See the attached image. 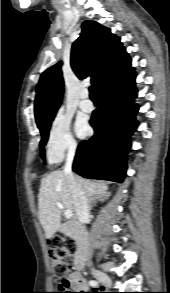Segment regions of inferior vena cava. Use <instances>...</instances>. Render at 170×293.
Masks as SVG:
<instances>
[{
	"label": "inferior vena cava",
	"mask_w": 170,
	"mask_h": 293,
	"mask_svg": "<svg viewBox=\"0 0 170 293\" xmlns=\"http://www.w3.org/2000/svg\"><path fill=\"white\" fill-rule=\"evenodd\" d=\"M76 152V146H71L68 150L64 172L67 176L69 186L73 194L76 215L81 224H85L89 217V201L85 193L79 188L72 172V164Z\"/></svg>",
	"instance_id": "inferior-vena-cava-1"
}]
</instances>
